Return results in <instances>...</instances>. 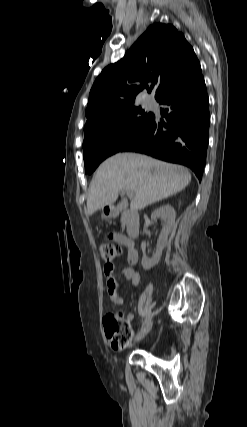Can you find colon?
Masks as SVG:
<instances>
[{
	"label": "colon",
	"mask_w": 247,
	"mask_h": 427,
	"mask_svg": "<svg viewBox=\"0 0 247 427\" xmlns=\"http://www.w3.org/2000/svg\"><path fill=\"white\" fill-rule=\"evenodd\" d=\"M120 249L113 243H105L99 248V256L105 264H109L118 255ZM105 334L115 350H123L130 344L132 329L130 324L119 314L110 312L104 318Z\"/></svg>",
	"instance_id": "colon-1"
}]
</instances>
